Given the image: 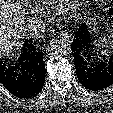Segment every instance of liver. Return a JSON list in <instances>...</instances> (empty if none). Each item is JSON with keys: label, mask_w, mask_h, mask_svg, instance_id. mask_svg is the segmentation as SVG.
Wrapping results in <instances>:
<instances>
[{"label": "liver", "mask_w": 113, "mask_h": 113, "mask_svg": "<svg viewBox=\"0 0 113 113\" xmlns=\"http://www.w3.org/2000/svg\"><path fill=\"white\" fill-rule=\"evenodd\" d=\"M24 13L19 0H0V56L13 54L21 46L20 40L27 34Z\"/></svg>", "instance_id": "6515ba94"}]
</instances>
